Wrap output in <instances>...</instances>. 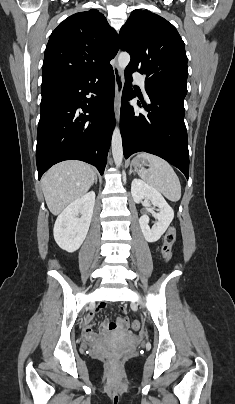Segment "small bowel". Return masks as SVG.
Returning a JSON list of instances; mask_svg holds the SVG:
<instances>
[{"instance_id":"obj_1","label":"small bowel","mask_w":235,"mask_h":404,"mask_svg":"<svg viewBox=\"0 0 235 404\" xmlns=\"http://www.w3.org/2000/svg\"><path fill=\"white\" fill-rule=\"evenodd\" d=\"M103 308H104L103 305H99V306H97L96 308L90 310L89 313H88V315H87V317L85 318V320L88 322V321L91 319V317H92L96 312L102 311ZM119 328H120V326H116V327L113 328V329L115 330V329H119ZM107 331H108V328L104 325V326L102 327V332H107ZM86 334H87L88 336H92V335H93V325H92V324L87 323Z\"/></svg>"}]
</instances>
